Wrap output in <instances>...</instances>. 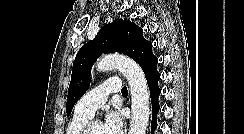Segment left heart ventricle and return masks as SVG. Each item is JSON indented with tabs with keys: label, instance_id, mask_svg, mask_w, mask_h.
<instances>
[{
	"label": "left heart ventricle",
	"instance_id": "1",
	"mask_svg": "<svg viewBox=\"0 0 244 134\" xmlns=\"http://www.w3.org/2000/svg\"><path fill=\"white\" fill-rule=\"evenodd\" d=\"M92 134H104L103 126L101 123H96L92 129Z\"/></svg>",
	"mask_w": 244,
	"mask_h": 134
}]
</instances>
